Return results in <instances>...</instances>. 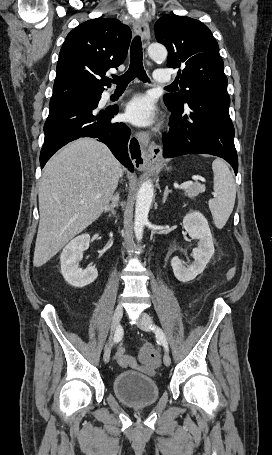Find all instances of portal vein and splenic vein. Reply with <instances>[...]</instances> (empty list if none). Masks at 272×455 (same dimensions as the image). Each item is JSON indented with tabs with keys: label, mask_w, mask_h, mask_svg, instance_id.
<instances>
[{
	"label": "portal vein and splenic vein",
	"mask_w": 272,
	"mask_h": 455,
	"mask_svg": "<svg viewBox=\"0 0 272 455\" xmlns=\"http://www.w3.org/2000/svg\"><path fill=\"white\" fill-rule=\"evenodd\" d=\"M191 186V183H183L179 186V189H186V188H189Z\"/></svg>",
	"instance_id": "18ae733b"
}]
</instances>
